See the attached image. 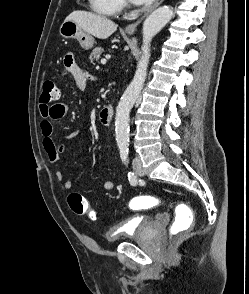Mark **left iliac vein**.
<instances>
[{
  "label": "left iliac vein",
  "mask_w": 249,
  "mask_h": 294,
  "mask_svg": "<svg viewBox=\"0 0 249 294\" xmlns=\"http://www.w3.org/2000/svg\"><path fill=\"white\" fill-rule=\"evenodd\" d=\"M132 165H133V169L135 171V173L139 176H143L144 175V170L142 168V164L141 161L138 157H135L132 161Z\"/></svg>",
  "instance_id": "obj_1"
}]
</instances>
